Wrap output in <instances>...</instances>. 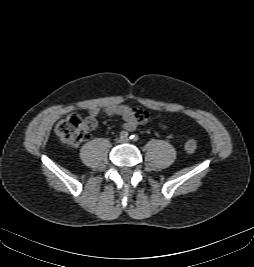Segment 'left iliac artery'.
Returning a JSON list of instances; mask_svg holds the SVG:
<instances>
[{"mask_svg": "<svg viewBox=\"0 0 254 267\" xmlns=\"http://www.w3.org/2000/svg\"><path fill=\"white\" fill-rule=\"evenodd\" d=\"M130 139H131L132 141L136 142V141H138L139 137H138V135L133 134V135L130 136Z\"/></svg>", "mask_w": 254, "mask_h": 267, "instance_id": "1", "label": "left iliac artery"}]
</instances>
